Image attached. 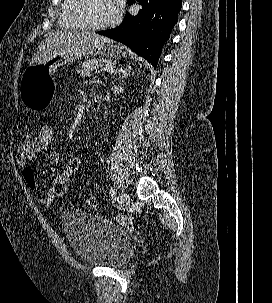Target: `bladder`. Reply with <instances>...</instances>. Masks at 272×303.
Here are the masks:
<instances>
[{
  "label": "bladder",
  "instance_id": "bladder-1",
  "mask_svg": "<svg viewBox=\"0 0 272 303\" xmlns=\"http://www.w3.org/2000/svg\"><path fill=\"white\" fill-rule=\"evenodd\" d=\"M60 225L73 251L87 265L117 268L133 256L131 236L106 218L69 209L62 213Z\"/></svg>",
  "mask_w": 272,
  "mask_h": 303
}]
</instances>
